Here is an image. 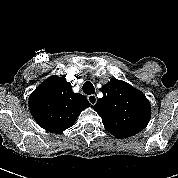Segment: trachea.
Masks as SVG:
<instances>
[{
    "label": "trachea",
    "instance_id": "trachea-1",
    "mask_svg": "<svg viewBox=\"0 0 178 178\" xmlns=\"http://www.w3.org/2000/svg\"><path fill=\"white\" fill-rule=\"evenodd\" d=\"M83 92L87 95H91V94L95 93V88L90 81H86L83 84Z\"/></svg>",
    "mask_w": 178,
    "mask_h": 178
}]
</instances>
